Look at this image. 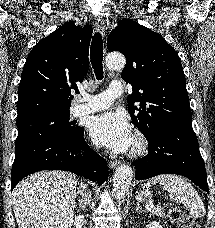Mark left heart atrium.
<instances>
[{
	"mask_svg": "<svg viewBox=\"0 0 215 228\" xmlns=\"http://www.w3.org/2000/svg\"><path fill=\"white\" fill-rule=\"evenodd\" d=\"M89 131L96 144L117 153L126 152L133 143L128 118L120 112H106L94 117Z\"/></svg>",
	"mask_w": 215,
	"mask_h": 228,
	"instance_id": "1",
	"label": "left heart atrium"
}]
</instances>
